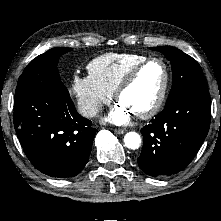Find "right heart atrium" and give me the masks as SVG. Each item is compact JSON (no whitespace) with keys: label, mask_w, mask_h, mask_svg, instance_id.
I'll return each mask as SVG.
<instances>
[{"label":"right heart atrium","mask_w":221,"mask_h":221,"mask_svg":"<svg viewBox=\"0 0 221 221\" xmlns=\"http://www.w3.org/2000/svg\"><path fill=\"white\" fill-rule=\"evenodd\" d=\"M71 93L76 99L79 112L87 118L96 116L112 98V94L90 75H75L71 82Z\"/></svg>","instance_id":"obj_1"}]
</instances>
